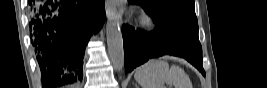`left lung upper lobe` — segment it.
Listing matches in <instances>:
<instances>
[{"label": "left lung upper lobe", "mask_w": 267, "mask_h": 88, "mask_svg": "<svg viewBox=\"0 0 267 88\" xmlns=\"http://www.w3.org/2000/svg\"><path fill=\"white\" fill-rule=\"evenodd\" d=\"M142 6L158 25L198 29L194 0H128Z\"/></svg>", "instance_id": "1"}]
</instances>
